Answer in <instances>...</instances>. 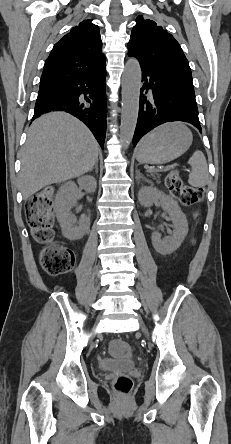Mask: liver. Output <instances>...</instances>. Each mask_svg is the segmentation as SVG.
<instances>
[{"mask_svg": "<svg viewBox=\"0 0 231 444\" xmlns=\"http://www.w3.org/2000/svg\"><path fill=\"white\" fill-rule=\"evenodd\" d=\"M99 145L90 130L65 112L36 119L21 151L18 176L23 199L43 187L90 171L98 160Z\"/></svg>", "mask_w": 231, "mask_h": 444, "instance_id": "1", "label": "liver"}]
</instances>
